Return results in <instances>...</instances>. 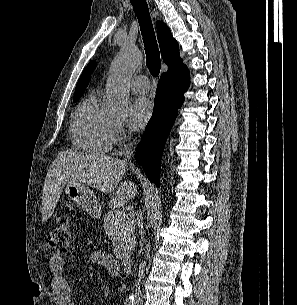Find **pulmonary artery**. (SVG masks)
<instances>
[{
    "mask_svg": "<svg viewBox=\"0 0 297 305\" xmlns=\"http://www.w3.org/2000/svg\"><path fill=\"white\" fill-rule=\"evenodd\" d=\"M130 87L133 91L138 93H147L149 91L148 79L144 75H138L131 79Z\"/></svg>",
    "mask_w": 297,
    "mask_h": 305,
    "instance_id": "obj_1",
    "label": "pulmonary artery"
}]
</instances>
